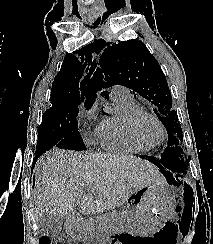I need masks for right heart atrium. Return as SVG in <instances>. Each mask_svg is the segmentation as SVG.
<instances>
[{"label":"right heart atrium","mask_w":213,"mask_h":244,"mask_svg":"<svg viewBox=\"0 0 213 244\" xmlns=\"http://www.w3.org/2000/svg\"><path fill=\"white\" fill-rule=\"evenodd\" d=\"M97 118V110L95 106H90L86 110H81L78 122L80 125V131L87 142H91L93 140L90 135L89 128L94 124Z\"/></svg>","instance_id":"obj_1"}]
</instances>
